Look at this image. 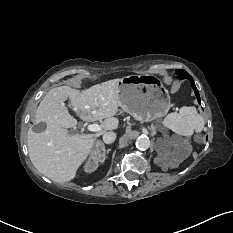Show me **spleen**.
I'll return each mask as SVG.
<instances>
[{
	"label": "spleen",
	"instance_id": "3e777b00",
	"mask_svg": "<svg viewBox=\"0 0 233 233\" xmlns=\"http://www.w3.org/2000/svg\"><path fill=\"white\" fill-rule=\"evenodd\" d=\"M163 125L178 135L190 137L194 131L199 133L203 130L204 119L197 113L195 107L183 106L179 113L168 114L163 120Z\"/></svg>",
	"mask_w": 233,
	"mask_h": 233
}]
</instances>
